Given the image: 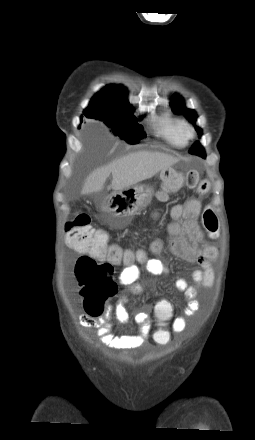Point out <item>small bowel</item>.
Here are the masks:
<instances>
[{
  "label": "small bowel",
  "instance_id": "1",
  "mask_svg": "<svg viewBox=\"0 0 255 440\" xmlns=\"http://www.w3.org/2000/svg\"><path fill=\"white\" fill-rule=\"evenodd\" d=\"M202 204L197 200H189L184 204H176L170 209L172 219L166 226L168 235L167 247L176 256L195 262L200 269L193 273L194 282L201 287L210 288L214 281V272L211 261L217 256V251L213 246L205 244L201 239V232L198 228V220L202 215ZM215 230L210 233H215ZM157 247H159L157 245ZM141 266L152 275H165L168 273L167 266L158 258H147L144 252H137L135 262L126 263L119 275V284L129 289L130 294H140L142 287L138 283L141 275ZM178 291L184 292L186 297V307L184 314L191 316L195 314L200 304L196 297L198 295L197 286L189 285L188 282L179 278L175 281ZM128 301L126 295L121 296L115 307L108 305L106 313L101 317H91L87 314L80 316V323L86 328L95 329L98 339L107 347L120 351H132L148 343L150 339V319L147 311L139 312L135 315V322L140 328V332L135 335H116L113 326L108 322L112 313L121 323H126L129 314L125 308ZM186 327V320L178 316L172 323V330L175 333L182 332ZM168 343V342H167Z\"/></svg>",
  "mask_w": 255,
  "mask_h": 440
}]
</instances>
